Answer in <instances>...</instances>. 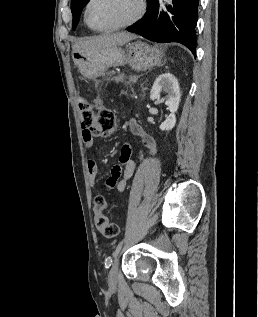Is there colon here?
Segmentation results:
<instances>
[{
  "label": "colon",
  "instance_id": "5ec220e1",
  "mask_svg": "<svg viewBox=\"0 0 258 317\" xmlns=\"http://www.w3.org/2000/svg\"><path fill=\"white\" fill-rule=\"evenodd\" d=\"M80 109L83 112V129L92 137H106L117 129V120L113 112L102 107L97 101L82 100ZM107 202L98 195L94 201V222L99 232L106 238H114L119 234L117 224L111 222L106 215Z\"/></svg>",
  "mask_w": 258,
  "mask_h": 317
}]
</instances>
